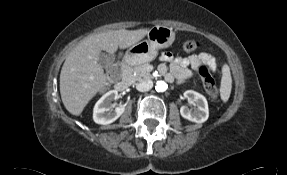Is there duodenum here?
I'll return each instance as SVG.
<instances>
[{
	"label": "duodenum",
	"mask_w": 287,
	"mask_h": 175,
	"mask_svg": "<svg viewBox=\"0 0 287 175\" xmlns=\"http://www.w3.org/2000/svg\"><path fill=\"white\" fill-rule=\"evenodd\" d=\"M130 61L124 60L121 64V78L116 83V88L120 91H124L130 86Z\"/></svg>",
	"instance_id": "duodenum-1"
}]
</instances>
